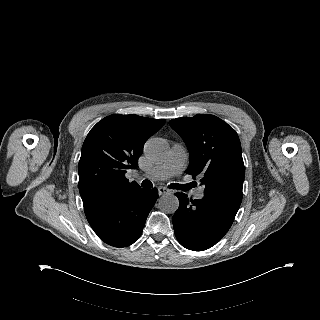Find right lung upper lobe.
<instances>
[{
	"instance_id": "cb5924a9",
	"label": "right lung upper lobe",
	"mask_w": 320,
	"mask_h": 320,
	"mask_svg": "<svg viewBox=\"0 0 320 320\" xmlns=\"http://www.w3.org/2000/svg\"><path fill=\"white\" fill-rule=\"evenodd\" d=\"M165 123L131 115H110L87 135L78 164L79 192L84 211L116 200L140 186L125 177L136 169L146 140Z\"/></svg>"
}]
</instances>
